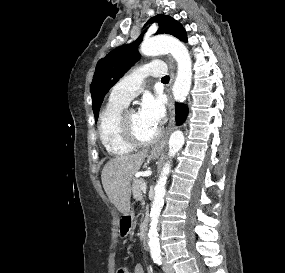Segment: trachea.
Instances as JSON below:
<instances>
[{"mask_svg": "<svg viewBox=\"0 0 285 273\" xmlns=\"http://www.w3.org/2000/svg\"><path fill=\"white\" fill-rule=\"evenodd\" d=\"M162 80H169V76H164L163 78H162Z\"/></svg>", "mask_w": 285, "mask_h": 273, "instance_id": "trachea-1", "label": "trachea"}]
</instances>
